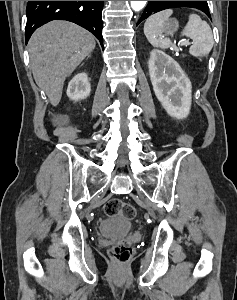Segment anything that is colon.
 Segmentation results:
<instances>
[{"mask_svg": "<svg viewBox=\"0 0 237 300\" xmlns=\"http://www.w3.org/2000/svg\"><path fill=\"white\" fill-rule=\"evenodd\" d=\"M104 213L107 216L121 215L126 219H133L136 215L134 206L118 198L108 200L104 206ZM133 245L129 240L119 241L109 247V254L118 263H125L133 254Z\"/></svg>", "mask_w": 237, "mask_h": 300, "instance_id": "colon-1", "label": "colon"}]
</instances>
